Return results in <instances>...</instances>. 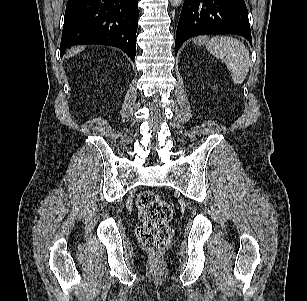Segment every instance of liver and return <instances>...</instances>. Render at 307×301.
<instances>
[{"instance_id": "liver-1", "label": "liver", "mask_w": 307, "mask_h": 301, "mask_svg": "<svg viewBox=\"0 0 307 301\" xmlns=\"http://www.w3.org/2000/svg\"><path fill=\"white\" fill-rule=\"evenodd\" d=\"M83 49H84L83 47H77V48L71 49L69 51V55L67 57H71V56L81 52Z\"/></svg>"}]
</instances>
